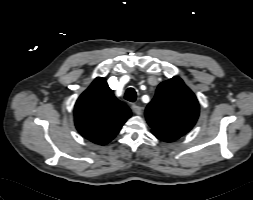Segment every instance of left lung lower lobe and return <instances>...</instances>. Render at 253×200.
<instances>
[{
	"label": "left lung lower lobe",
	"mask_w": 253,
	"mask_h": 200,
	"mask_svg": "<svg viewBox=\"0 0 253 200\" xmlns=\"http://www.w3.org/2000/svg\"><path fill=\"white\" fill-rule=\"evenodd\" d=\"M157 138H159L162 141L166 142H172L178 139L176 136H171V135H163V134H154Z\"/></svg>",
	"instance_id": "0a47b994"
}]
</instances>
